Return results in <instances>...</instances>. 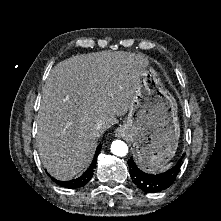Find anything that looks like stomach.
I'll use <instances>...</instances> for the list:
<instances>
[{
  "label": "stomach",
  "instance_id": "obj_1",
  "mask_svg": "<svg viewBox=\"0 0 221 221\" xmlns=\"http://www.w3.org/2000/svg\"><path fill=\"white\" fill-rule=\"evenodd\" d=\"M177 109L158 72L144 67L127 119L120 127L133 144L135 159L143 170L155 171L175 155L180 137Z\"/></svg>",
  "mask_w": 221,
  "mask_h": 221
}]
</instances>
